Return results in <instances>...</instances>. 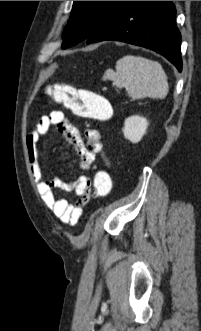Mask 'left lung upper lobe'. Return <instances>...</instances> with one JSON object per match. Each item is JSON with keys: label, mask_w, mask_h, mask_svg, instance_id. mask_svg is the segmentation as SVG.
I'll return each mask as SVG.
<instances>
[{"label": "left lung upper lobe", "mask_w": 201, "mask_h": 331, "mask_svg": "<svg viewBox=\"0 0 201 331\" xmlns=\"http://www.w3.org/2000/svg\"><path fill=\"white\" fill-rule=\"evenodd\" d=\"M120 1H74L62 48L86 40Z\"/></svg>", "instance_id": "5c2ea615"}]
</instances>
